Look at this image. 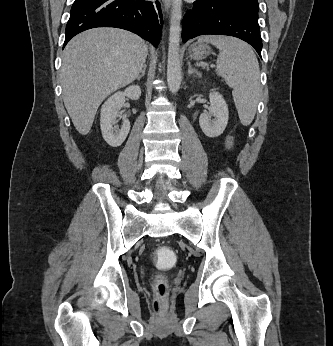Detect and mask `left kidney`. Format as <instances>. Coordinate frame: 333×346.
<instances>
[{"mask_svg":"<svg viewBox=\"0 0 333 346\" xmlns=\"http://www.w3.org/2000/svg\"><path fill=\"white\" fill-rule=\"evenodd\" d=\"M209 98V111L200 115L199 124L206 136L214 138L224 132L228 123L229 111L226 101L217 91L210 92ZM211 117H214V119H211Z\"/></svg>","mask_w":333,"mask_h":346,"instance_id":"1","label":"left kidney"}]
</instances>
